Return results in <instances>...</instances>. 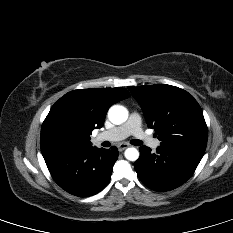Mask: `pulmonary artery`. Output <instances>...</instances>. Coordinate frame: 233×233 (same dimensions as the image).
<instances>
[{
    "label": "pulmonary artery",
    "mask_w": 233,
    "mask_h": 233,
    "mask_svg": "<svg viewBox=\"0 0 233 233\" xmlns=\"http://www.w3.org/2000/svg\"><path fill=\"white\" fill-rule=\"evenodd\" d=\"M130 135L135 136L140 141L148 144L153 149L158 148L160 141L147 135L141 128V118L137 113H132L128 120L120 126L114 127L108 131L100 133L96 141H119Z\"/></svg>",
    "instance_id": "pulmonary-artery-1"
}]
</instances>
